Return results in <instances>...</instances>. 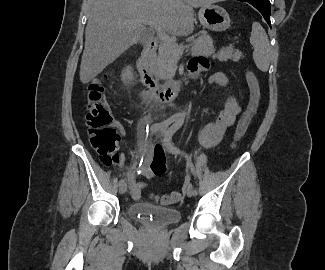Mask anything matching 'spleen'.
<instances>
[{"mask_svg": "<svg viewBox=\"0 0 325 270\" xmlns=\"http://www.w3.org/2000/svg\"><path fill=\"white\" fill-rule=\"evenodd\" d=\"M250 43L254 47L253 59L257 68L263 72L268 71L271 48L268 36L258 22H253L252 24Z\"/></svg>", "mask_w": 325, "mask_h": 270, "instance_id": "3e777b00", "label": "spleen"}]
</instances>
